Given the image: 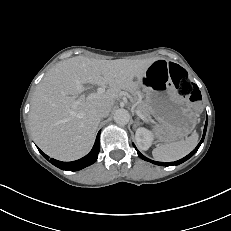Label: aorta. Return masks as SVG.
Listing matches in <instances>:
<instances>
[{"instance_id":"1","label":"aorta","mask_w":231,"mask_h":231,"mask_svg":"<svg viewBox=\"0 0 231 231\" xmlns=\"http://www.w3.org/2000/svg\"><path fill=\"white\" fill-rule=\"evenodd\" d=\"M114 121L119 125H125L130 120V114L126 109H117L113 116Z\"/></svg>"}]
</instances>
